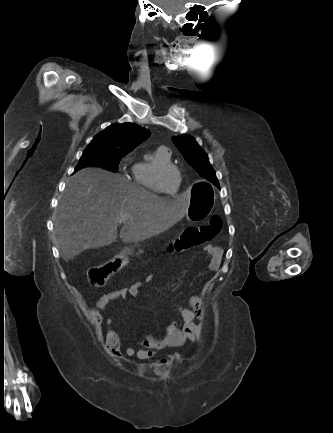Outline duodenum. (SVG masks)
Listing matches in <instances>:
<instances>
[{"label": "duodenum", "instance_id": "obj_1", "mask_svg": "<svg viewBox=\"0 0 333 433\" xmlns=\"http://www.w3.org/2000/svg\"><path fill=\"white\" fill-rule=\"evenodd\" d=\"M123 250H124L123 253H124L125 255H126V254H127V255H130V254L132 253L131 251H132L133 249H132L131 247H128V248L125 247Z\"/></svg>", "mask_w": 333, "mask_h": 433}]
</instances>
